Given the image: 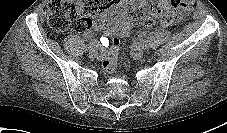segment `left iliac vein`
<instances>
[{"mask_svg": "<svg viewBox=\"0 0 227 133\" xmlns=\"http://www.w3.org/2000/svg\"><path fill=\"white\" fill-rule=\"evenodd\" d=\"M131 54L136 59H141L144 56V51L141 48L134 47L132 48Z\"/></svg>", "mask_w": 227, "mask_h": 133, "instance_id": "left-iliac-vein-1", "label": "left iliac vein"}]
</instances>
